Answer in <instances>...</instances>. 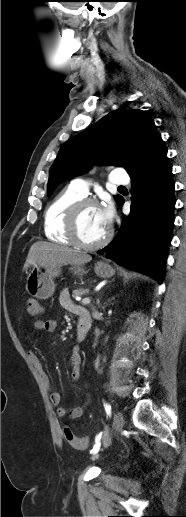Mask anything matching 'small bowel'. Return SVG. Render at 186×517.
Wrapping results in <instances>:
<instances>
[{
  "mask_svg": "<svg viewBox=\"0 0 186 517\" xmlns=\"http://www.w3.org/2000/svg\"><path fill=\"white\" fill-rule=\"evenodd\" d=\"M60 303L61 305L67 309L68 311L78 314L80 310L82 309L80 306L76 305L70 298L69 292L67 290H64L60 294ZM57 327V322L54 319H47V320H38L34 323V328L38 331H46V332H53L55 331ZM77 341L78 338H77ZM28 357L30 361L34 364L36 369L38 370L43 383L45 386L50 390V397L51 401L54 405L58 406L57 413L59 417H70V418H78L80 417L87 406V403L82 406L77 407H65L62 406L63 403V395L58 392L52 390V381L48 374L46 373L43 364L38 356V354L35 351H29ZM71 365H72V373L71 378L74 381H78L80 379L81 375V355L79 353L78 347H74L71 357H70Z\"/></svg>",
  "mask_w": 186,
  "mask_h": 517,
  "instance_id": "obj_1",
  "label": "small bowel"
}]
</instances>
